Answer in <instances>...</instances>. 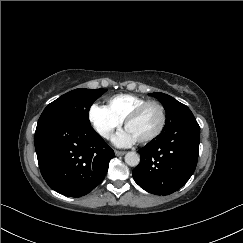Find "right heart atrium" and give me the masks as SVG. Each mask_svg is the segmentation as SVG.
Listing matches in <instances>:
<instances>
[{"mask_svg":"<svg viewBox=\"0 0 243 243\" xmlns=\"http://www.w3.org/2000/svg\"><path fill=\"white\" fill-rule=\"evenodd\" d=\"M88 120L94 130L105 139H109L122 125V120L114 115L107 106L99 104H93L89 108Z\"/></svg>","mask_w":243,"mask_h":243,"instance_id":"right-heart-atrium-1","label":"right heart atrium"}]
</instances>
